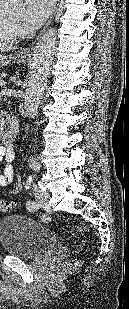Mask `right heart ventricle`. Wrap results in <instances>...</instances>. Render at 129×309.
I'll use <instances>...</instances> for the list:
<instances>
[{
  "instance_id": "e07e8e85",
  "label": "right heart ventricle",
  "mask_w": 129,
  "mask_h": 309,
  "mask_svg": "<svg viewBox=\"0 0 129 309\" xmlns=\"http://www.w3.org/2000/svg\"><path fill=\"white\" fill-rule=\"evenodd\" d=\"M16 37V29L11 25L0 6V45L10 44L16 40Z\"/></svg>"
}]
</instances>
